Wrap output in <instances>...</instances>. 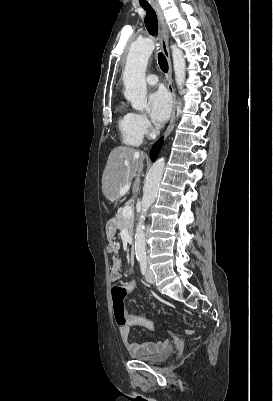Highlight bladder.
Listing matches in <instances>:
<instances>
[{
    "label": "bladder",
    "instance_id": "obj_1",
    "mask_svg": "<svg viewBox=\"0 0 273 401\" xmlns=\"http://www.w3.org/2000/svg\"><path fill=\"white\" fill-rule=\"evenodd\" d=\"M173 354V348L172 347H166L162 351H160L156 355L152 356H141V355H133L132 358L135 360L143 361L145 363L149 364H161L168 360Z\"/></svg>",
    "mask_w": 273,
    "mask_h": 401
}]
</instances>
